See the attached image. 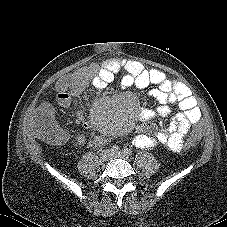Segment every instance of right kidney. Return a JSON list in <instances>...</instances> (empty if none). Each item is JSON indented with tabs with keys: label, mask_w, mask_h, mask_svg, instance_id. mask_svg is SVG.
Here are the masks:
<instances>
[{
	"label": "right kidney",
	"mask_w": 227,
	"mask_h": 227,
	"mask_svg": "<svg viewBox=\"0 0 227 227\" xmlns=\"http://www.w3.org/2000/svg\"><path fill=\"white\" fill-rule=\"evenodd\" d=\"M76 139L78 145H83L85 143V136L83 134L79 135Z\"/></svg>",
	"instance_id": "obj_1"
}]
</instances>
